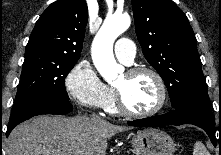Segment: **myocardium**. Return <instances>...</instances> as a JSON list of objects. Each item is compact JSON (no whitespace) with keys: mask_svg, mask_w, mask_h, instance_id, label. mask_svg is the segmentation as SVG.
Segmentation results:
<instances>
[{"mask_svg":"<svg viewBox=\"0 0 221 155\" xmlns=\"http://www.w3.org/2000/svg\"><path fill=\"white\" fill-rule=\"evenodd\" d=\"M143 73L151 75L155 79V81L158 85V88H159L158 104L152 110H149L146 112L132 111L126 105L121 92L117 88L113 87V94H114L116 108L120 113H122L125 116L133 117V118L152 117V116L158 114L164 108V106L167 102V88H166L165 81L156 70H154L150 67L138 66V67L130 68L126 71V74L128 76H136V75L143 74Z\"/></svg>","mask_w":221,"mask_h":155,"instance_id":"myocardium-1","label":"myocardium"}]
</instances>
